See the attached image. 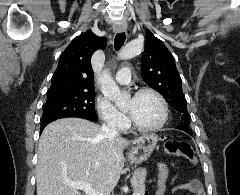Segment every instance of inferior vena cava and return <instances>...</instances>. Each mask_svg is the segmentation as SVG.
I'll list each match as a JSON object with an SVG mask.
<instances>
[{
    "instance_id": "inferior-vena-cava-1",
    "label": "inferior vena cava",
    "mask_w": 240,
    "mask_h": 195,
    "mask_svg": "<svg viewBox=\"0 0 240 195\" xmlns=\"http://www.w3.org/2000/svg\"><path fill=\"white\" fill-rule=\"evenodd\" d=\"M102 133H104L105 137H117L119 135L116 125L114 123H111V121H107V123H104L101 127Z\"/></svg>"
}]
</instances>
